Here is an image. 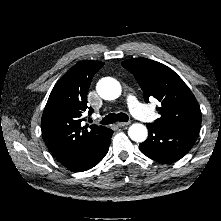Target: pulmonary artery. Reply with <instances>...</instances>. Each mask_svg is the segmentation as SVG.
Instances as JSON below:
<instances>
[{
  "label": "pulmonary artery",
  "instance_id": "pulmonary-artery-1",
  "mask_svg": "<svg viewBox=\"0 0 221 221\" xmlns=\"http://www.w3.org/2000/svg\"><path fill=\"white\" fill-rule=\"evenodd\" d=\"M127 104L131 113L144 121H150L152 119L151 113L137 100V98L129 94L127 96Z\"/></svg>",
  "mask_w": 221,
  "mask_h": 221
}]
</instances>
